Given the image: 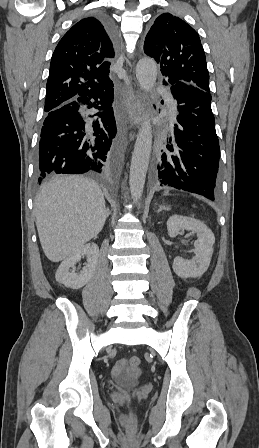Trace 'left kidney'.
<instances>
[{
    "label": "left kidney",
    "instance_id": "5707ae66",
    "mask_svg": "<svg viewBox=\"0 0 259 448\" xmlns=\"http://www.w3.org/2000/svg\"><path fill=\"white\" fill-rule=\"evenodd\" d=\"M167 230L170 238H176L181 230L195 232L198 238L194 244L196 256L191 262L183 258H174L173 270L180 278H201L211 262L215 244L213 232L200 220L184 216H171L167 222Z\"/></svg>",
    "mask_w": 259,
    "mask_h": 448
}]
</instances>
